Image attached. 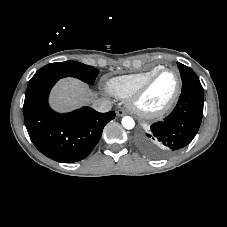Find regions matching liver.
Segmentation results:
<instances>
[{"instance_id": "obj_1", "label": "liver", "mask_w": 227, "mask_h": 227, "mask_svg": "<svg viewBox=\"0 0 227 227\" xmlns=\"http://www.w3.org/2000/svg\"><path fill=\"white\" fill-rule=\"evenodd\" d=\"M94 96L95 94L86 91L81 81L67 78L59 81L53 88L50 103L55 110L66 112L95 101Z\"/></svg>"}]
</instances>
